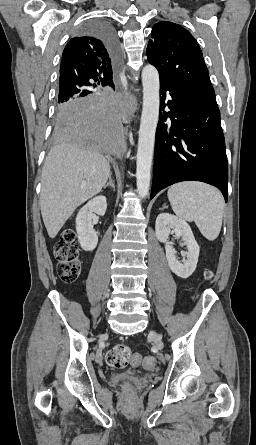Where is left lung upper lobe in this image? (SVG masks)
<instances>
[{
  "instance_id": "left-lung-upper-lobe-1",
  "label": "left lung upper lobe",
  "mask_w": 256,
  "mask_h": 445,
  "mask_svg": "<svg viewBox=\"0 0 256 445\" xmlns=\"http://www.w3.org/2000/svg\"><path fill=\"white\" fill-rule=\"evenodd\" d=\"M151 38L146 54L149 63L158 69L160 79L215 97L202 51L186 29L162 21L153 27Z\"/></svg>"
}]
</instances>
